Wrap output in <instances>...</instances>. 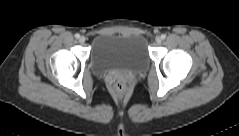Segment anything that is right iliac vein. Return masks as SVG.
Masks as SVG:
<instances>
[{
    "instance_id": "1",
    "label": "right iliac vein",
    "mask_w": 239,
    "mask_h": 136,
    "mask_svg": "<svg viewBox=\"0 0 239 136\" xmlns=\"http://www.w3.org/2000/svg\"><path fill=\"white\" fill-rule=\"evenodd\" d=\"M85 41H86V38L84 36L79 37V42L81 44L85 43Z\"/></svg>"
}]
</instances>
